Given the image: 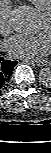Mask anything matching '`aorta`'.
I'll return each instance as SVG.
<instances>
[{
    "mask_svg": "<svg viewBox=\"0 0 51 153\" xmlns=\"http://www.w3.org/2000/svg\"><path fill=\"white\" fill-rule=\"evenodd\" d=\"M40 12L30 5H20L13 9L10 16L12 27L20 33H33L40 24ZM39 82L45 86H51V69L43 68L38 74Z\"/></svg>",
    "mask_w": 51,
    "mask_h": 153,
    "instance_id": "762f6f07",
    "label": "aorta"
}]
</instances>
